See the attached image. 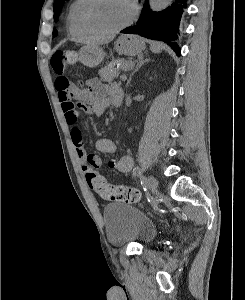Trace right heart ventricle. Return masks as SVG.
I'll return each mask as SVG.
<instances>
[{
  "instance_id": "right-heart-ventricle-1",
  "label": "right heart ventricle",
  "mask_w": 245,
  "mask_h": 300,
  "mask_svg": "<svg viewBox=\"0 0 245 300\" xmlns=\"http://www.w3.org/2000/svg\"><path fill=\"white\" fill-rule=\"evenodd\" d=\"M84 3V0H73L69 6L67 15V27L73 35H88V33L80 24L79 11Z\"/></svg>"
}]
</instances>
